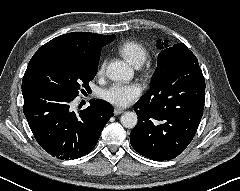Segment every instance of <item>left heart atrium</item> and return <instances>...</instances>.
I'll use <instances>...</instances> for the list:
<instances>
[{
    "mask_svg": "<svg viewBox=\"0 0 240 191\" xmlns=\"http://www.w3.org/2000/svg\"><path fill=\"white\" fill-rule=\"evenodd\" d=\"M142 89L138 84L116 82L103 90V100L117 107H126L134 102L140 95Z\"/></svg>",
    "mask_w": 240,
    "mask_h": 191,
    "instance_id": "1",
    "label": "left heart atrium"
}]
</instances>
